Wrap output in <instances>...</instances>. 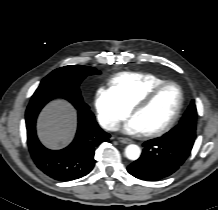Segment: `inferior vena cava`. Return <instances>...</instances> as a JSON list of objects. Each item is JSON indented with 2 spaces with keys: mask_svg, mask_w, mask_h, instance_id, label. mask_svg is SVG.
Masks as SVG:
<instances>
[{
  "mask_svg": "<svg viewBox=\"0 0 218 210\" xmlns=\"http://www.w3.org/2000/svg\"><path fill=\"white\" fill-rule=\"evenodd\" d=\"M102 127L108 131H118L120 129V123L114 121H105Z\"/></svg>",
  "mask_w": 218,
  "mask_h": 210,
  "instance_id": "obj_1",
  "label": "inferior vena cava"
}]
</instances>
